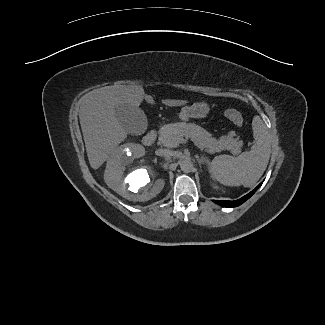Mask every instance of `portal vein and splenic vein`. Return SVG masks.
<instances>
[{"instance_id": "portal-vein-and-splenic-vein-1", "label": "portal vein and splenic vein", "mask_w": 325, "mask_h": 325, "mask_svg": "<svg viewBox=\"0 0 325 325\" xmlns=\"http://www.w3.org/2000/svg\"><path fill=\"white\" fill-rule=\"evenodd\" d=\"M182 142H184V139L183 138H179L178 143H182Z\"/></svg>"}]
</instances>
